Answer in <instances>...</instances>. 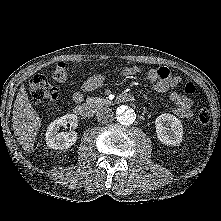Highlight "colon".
Wrapping results in <instances>:
<instances>
[{"label": "colon", "mask_w": 221, "mask_h": 221, "mask_svg": "<svg viewBox=\"0 0 221 221\" xmlns=\"http://www.w3.org/2000/svg\"><path fill=\"white\" fill-rule=\"evenodd\" d=\"M53 78L57 81L67 79V65L65 62H58L53 68ZM186 94H194L195 86L191 82L183 84ZM57 97V90L49 80L43 75H35L29 83V99L35 105H48ZM210 112L206 107H201L197 112V122L201 126H206L210 122Z\"/></svg>", "instance_id": "1"}]
</instances>
